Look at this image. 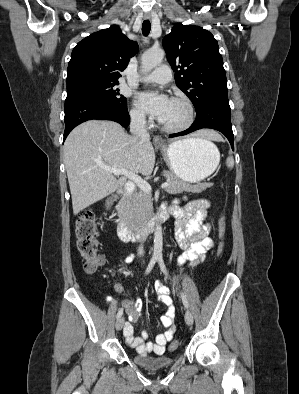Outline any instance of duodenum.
<instances>
[{
    "instance_id": "1",
    "label": "duodenum",
    "mask_w": 299,
    "mask_h": 394,
    "mask_svg": "<svg viewBox=\"0 0 299 394\" xmlns=\"http://www.w3.org/2000/svg\"><path fill=\"white\" fill-rule=\"evenodd\" d=\"M135 190V185L131 182L126 184L123 196L117 201L115 211L117 213L118 236L122 241H134L144 239L149 233L154 231L157 225L167 220L169 213L166 209H161L153 218L141 227H133L129 220V215L126 208L127 196ZM111 203L108 204V207Z\"/></svg>"
}]
</instances>
